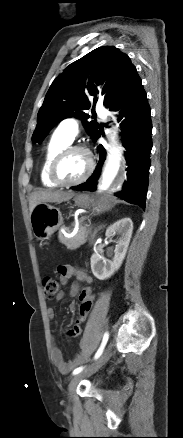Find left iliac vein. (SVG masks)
I'll return each mask as SVG.
<instances>
[{"label": "left iliac vein", "mask_w": 183, "mask_h": 438, "mask_svg": "<svg viewBox=\"0 0 183 438\" xmlns=\"http://www.w3.org/2000/svg\"><path fill=\"white\" fill-rule=\"evenodd\" d=\"M111 348L112 344H110L107 349L103 352V354L99 357V359L93 363L86 370L76 374L70 381L68 385L69 398L72 399L73 393L78 385V383L85 377L92 375L97 372L110 358L111 356Z\"/></svg>", "instance_id": "obj_1"}]
</instances>
